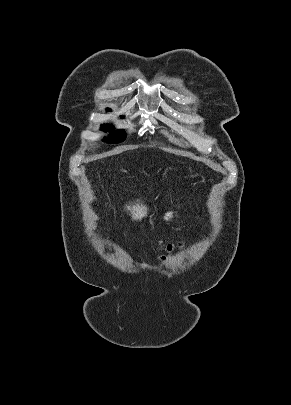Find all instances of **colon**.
<instances>
[{
    "label": "colon",
    "mask_w": 291,
    "mask_h": 405,
    "mask_svg": "<svg viewBox=\"0 0 291 405\" xmlns=\"http://www.w3.org/2000/svg\"><path fill=\"white\" fill-rule=\"evenodd\" d=\"M178 246H180V243H179V244H168V245H165V246L162 248V250L164 251V254L161 255L160 258H161L162 260H165V259L168 257V255H169L170 253H172L173 250H174L176 247H178Z\"/></svg>",
    "instance_id": "colon-1"
}]
</instances>
